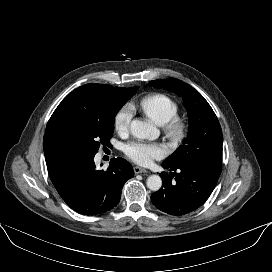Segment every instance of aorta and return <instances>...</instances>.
<instances>
[{"mask_svg": "<svg viewBox=\"0 0 272 272\" xmlns=\"http://www.w3.org/2000/svg\"><path fill=\"white\" fill-rule=\"evenodd\" d=\"M130 130L133 136L139 139L154 140L159 136L158 129L148 121L135 119L130 124ZM162 186L161 177L151 175L147 178V187L151 191H158Z\"/></svg>", "mask_w": 272, "mask_h": 272, "instance_id": "762f6f07", "label": "aorta"}]
</instances>
